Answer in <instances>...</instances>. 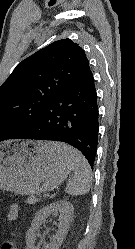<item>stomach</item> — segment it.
<instances>
[{
  "label": "stomach",
  "mask_w": 135,
  "mask_h": 249,
  "mask_svg": "<svg viewBox=\"0 0 135 249\" xmlns=\"http://www.w3.org/2000/svg\"><path fill=\"white\" fill-rule=\"evenodd\" d=\"M48 141H11L0 145V189L33 195L57 188L73 166Z\"/></svg>",
  "instance_id": "0dacf381"
}]
</instances>
